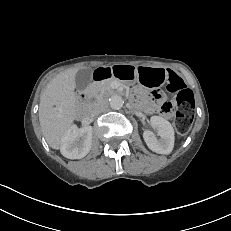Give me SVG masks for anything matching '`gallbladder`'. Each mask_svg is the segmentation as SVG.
<instances>
[{"mask_svg": "<svg viewBox=\"0 0 231 231\" xmlns=\"http://www.w3.org/2000/svg\"><path fill=\"white\" fill-rule=\"evenodd\" d=\"M90 71L87 69L79 70L75 76L76 88L84 90L90 82Z\"/></svg>", "mask_w": 231, "mask_h": 231, "instance_id": "bac80fb5", "label": "gallbladder"}]
</instances>
